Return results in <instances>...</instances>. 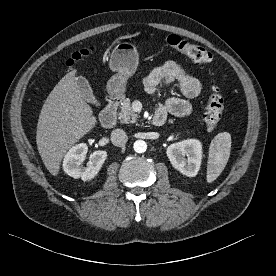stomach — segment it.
<instances>
[{"instance_id": "obj_1", "label": "stomach", "mask_w": 276, "mask_h": 276, "mask_svg": "<svg viewBox=\"0 0 276 276\" xmlns=\"http://www.w3.org/2000/svg\"><path fill=\"white\" fill-rule=\"evenodd\" d=\"M138 52L128 42L119 43L110 56L109 67L116 72L107 83V91L112 96H122L126 83L133 76L138 66Z\"/></svg>"}]
</instances>
